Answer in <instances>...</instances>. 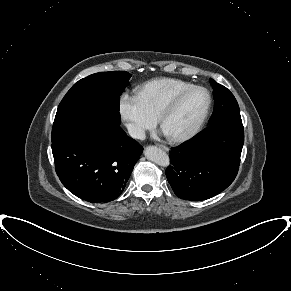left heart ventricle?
Wrapping results in <instances>:
<instances>
[{
  "label": "left heart ventricle",
  "instance_id": "1",
  "mask_svg": "<svg viewBox=\"0 0 291 291\" xmlns=\"http://www.w3.org/2000/svg\"><path fill=\"white\" fill-rule=\"evenodd\" d=\"M207 101V94L202 90L189 93L165 120L163 133L166 136H179L190 131L201 117Z\"/></svg>",
  "mask_w": 291,
  "mask_h": 291
}]
</instances>
